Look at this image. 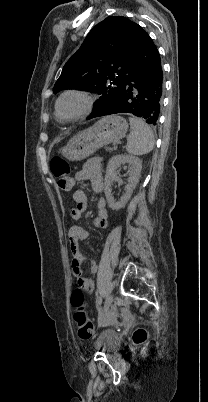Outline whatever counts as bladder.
Masks as SVG:
<instances>
[{
  "label": "bladder",
  "instance_id": "bladder-1",
  "mask_svg": "<svg viewBox=\"0 0 208 402\" xmlns=\"http://www.w3.org/2000/svg\"><path fill=\"white\" fill-rule=\"evenodd\" d=\"M121 339L112 330H103L95 340V346L104 351H114L119 348Z\"/></svg>",
  "mask_w": 208,
  "mask_h": 402
}]
</instances>
